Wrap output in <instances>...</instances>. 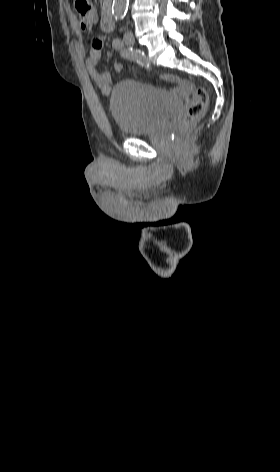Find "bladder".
<instances>
[{"mask_svg":"<svg viewBox=\"0 0 280 472\" xmlns=\"http://www.w3.org/2000/svg\"><path fill=\"white\" fill-rule=\"evenodd\" d=\"M179 107L180 102L167 90L133 80L116 85L110 99V111L116 125L132 137L154 131Z\"/></svg>","mask_w":280,"mask_h":472,"instance_id":"obj_1","label":"bladder"}]
</instances>
